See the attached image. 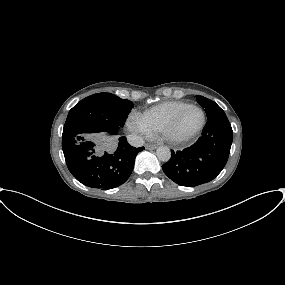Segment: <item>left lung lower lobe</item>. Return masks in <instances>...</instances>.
Returning <instances> with one entry per match:
<instances>
[{
  "label": "left lung lower lobe",
  "mask_w": 285,
  "mask_h": 285,
  "mask_svg": "<svg viewBox=\"0 0 285 285\" xmlns=\"http://www.w3.org/2000/svg\"><path fill=\"white\" fill-rule=\"evenodd\" d=\"M233 139L228 118L208 119L202 136L183 151H171L170 160L162 165L164 173L181 186L194 187L213 180L227 163Z\"/></svg>",
  "instance_id": "1"
}]
</instances>
